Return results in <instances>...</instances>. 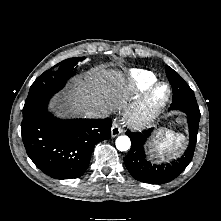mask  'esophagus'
Instances as JSON below:
<instances>
[{
    "label": "esophagus",
    "instance_id": "obj_1",
    "mask_svg": "<svg viewBox=\"0 0 221 221\" xmlns=\"http://www.w3.org/2000/svg\"><path fill=\"white\" fill-rule=\"evenodd\" d=\"M121 133H122V127L117 121H114L112 128H111V136L116 137Z\"/></svg>",
    "mask_w": 221,
    "mask_h": 221
}]
</instances>
